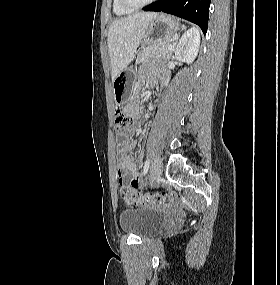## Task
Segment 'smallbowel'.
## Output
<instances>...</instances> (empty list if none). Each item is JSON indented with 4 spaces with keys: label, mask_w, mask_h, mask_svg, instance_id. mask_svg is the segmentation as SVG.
Masks as SVG:
<instances>
[{
    "label": "small bowel",
    "mask_w": 280,
    "mask_h": 285,
    "mask_svg": "<svg viewBox=\"0 0 280 285\" xmlns=\"http://www.w3.org/2000/svg\"><path fill=\"white\" fill-rule=\"evenodd\" d=\"M167 83V76H160V86H164ZM125 111L130 113L133 116H137V110L135 106L128 105L125 107ZM137 142L134 140H129L128 135L124 134L118 140V176L121 184L127 183L132 188L138 189L142 185L141 174L137 169L136 164L134 163L132 157L129 155V152L135 149Z\"/></svg>",
    "instance_id": "c3829d8e"
}]
</instances>
